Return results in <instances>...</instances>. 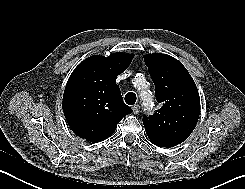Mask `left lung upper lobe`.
<instances>
[{
	"label": "left lung upper lobe",
	"mask_w": 245,
	"mask_h": 189,
	"mask_svg": "<svg viewBox=\"0 0 245 189\" xmlns=\"http://www.w3.org/2000/svg\"><path fill=\"white\" fill-rule=\"evenodd\" d=\"M144 61L155 84L156 100L162 104L143 124L150 141L160 147H174L194 130L200 113V97L191 75L175 58L147 54Z\"/></svg>",
	"instance_id": "obj_1"
}]
</instances>
